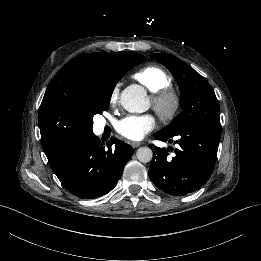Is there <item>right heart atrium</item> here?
I'll list each match as a JSON object with an SVG mask.
<instances>
[{
	"instance_id": "obj_1",
	"label": "right heart atrium",
	"mask_w": 261,
	"mask_h": 261,
	"mask_svg": "<svg viewBox=\"0 0 261 261\" xmlns=\"http://www.w3.org/2000/svg\"><path fill=\"white\" fill-rule=\"evenodd\" d=\"M118 88L117 87H115L113 90H112V92H111V94H110V97H109V103H110V105H114L115 103H117V101H118Z\"/></svg>"
}]
</instances>
